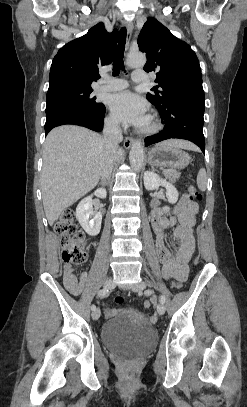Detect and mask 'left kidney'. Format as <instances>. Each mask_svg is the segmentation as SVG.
Segmentation results:
<instances>
[{
    "mask_svg": "<svg viewBox=\"0 0 247 407\" xmlns=\"http://www.w3.org/2000/svg\"><path fill=\"white\" fill-rule=\"evenodd\" d=\"M144 186L147 190L158 189L159 186L166 188V197L168 202L174 204L178 200L179 193L175 186L166 180L162 179L159 175L154 172L147 171L144 173ZM164 211H169L168 207L163 208Z\"/></svg>",
    "mask_w": 247,
    "mask_h": 407,
    "instance_id": "obj_1",
    "label": "left kidney"
}]
</instances>
